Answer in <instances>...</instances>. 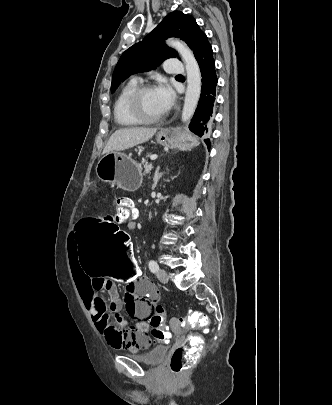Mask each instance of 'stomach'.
<instances>
[{
	"instance_id": "1",
	"label": "stomach",
	"mask_w": 332,
	"mask_h": 405,
	"mask_svg": "<svg viewBox=\"0 0 332 405\" xmlns=\"http://www.w3.org/2000/svg\"><path fill=\"white\" fill-rule=\"evenodd\" d=\"M156 139L162 146L175 147L179 145L182 150L186 151L199 144L198 139L191 134H185L176 140L168 129L160 130ZM96 174L100 180L127 191H134L142 182L141 165L130 156L118 151H111L99 160Z\"/></svg>"
}]
</instances>
